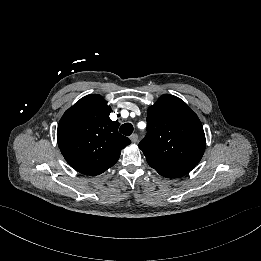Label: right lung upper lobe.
Listing matches in <instances>:
<instances>
[{"label":"right lung upper lobe","instance_id":"obj_1","mask_svg":"<svg viewBox=\"0 0 261 261\" xmlns=\"http://www.w3.org/2000/svg\"><path fill=\"white\" fill-rule=\"evenodd\" d=\"M111 107L98 94L81 98L61 118L57 141L66 161L78 172L98 175L113 166L131 143L109 118Z\"/></svg>","mask_w":261,"mask_h":261}]
</instances>
